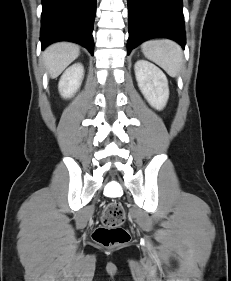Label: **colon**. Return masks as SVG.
Returning <instances> with one entry per match:
<instances>
[{"label": "colon", "instance_id": "1", "mask_svg": "<svg viewBox=\"0 0 231 281\" xmlns=\"http://www.w3.org/2000/svg\"><path fill=\"white\" fill-rule=\"evenodd\" d=\"M125 220L123 207L117 202L108 203L101 213V225L93 233V240L103 247L113 248L126 244L129 233L122 227Z\"/></svg>", "mask_w": 231, "mask_h": 281}]
</instances>
